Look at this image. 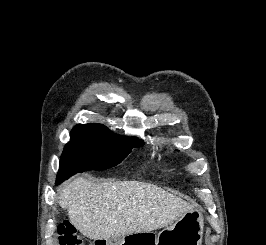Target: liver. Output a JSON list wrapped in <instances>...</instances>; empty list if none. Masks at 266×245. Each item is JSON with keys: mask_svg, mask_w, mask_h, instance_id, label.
Returning a JSON list of instances; mask_svg holds the SVG:
<instances>
[{"mask_svg": "<svg viewBox=\"0 0 266 245\" xmlns=\"http://www.w3.org/2000/svg\"><path fill=\"white\" fill-rule=\"evenodd\" d=\"M59 191V203L68 209L72 225L94 241L157 231L194 211L180 197L139 181L95 183L78 177Z\"/></svg>", "mask_w": 266, "mask_h": 245, "instance_id": "obj_1", "label": "liver"}]
</instances>
